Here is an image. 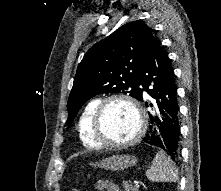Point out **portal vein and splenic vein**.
Instances as JSON below:
<instances>
[{"mask_svg":"<svg viewBox=\"0 0 221 191\" xmlns=\"http://www.w3.org/2000/svg\"><path fill=\"white\" fill-rule=\"evenodd\" d=\"M135 187H136V188H139V187H140V185H139L138 182H135Z\"/></svg>","mask_w":221,"mask_h":191,"instance_id":"obj_1","label":"portal vein and splenic vein"}]
</instances>
